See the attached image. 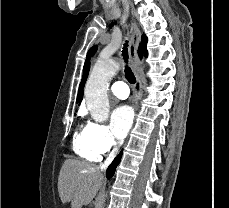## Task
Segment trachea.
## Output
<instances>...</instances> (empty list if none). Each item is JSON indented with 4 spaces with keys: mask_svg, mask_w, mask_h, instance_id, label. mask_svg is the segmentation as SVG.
Wrapping results in <instances>:
<instances>
[{
    "mask_svg": "<svg viewBox=\"0 0 229 208\" xmlns=\"http://www.w3.org/2000/svg\"><path fill=\"white\" fill-rule=\"evenodd\" d=\"M122 57L125 63V67H124L125 78L128 80L129 83L134 84L136 82V79L128 63V41H126L123 46Z\"/></svg>",
    "mask_w": 229,
    "mask_h": 208,
    "instance_id": "obj_1",
    "label": "trachea"
}]
</instances>
